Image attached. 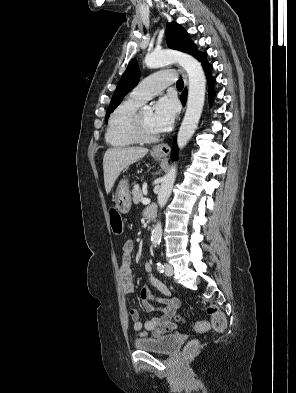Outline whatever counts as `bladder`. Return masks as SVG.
<instances>
[{
  "label": "bladder",
  "instance_id": "1",
  "mask_svg": "<svg viewBox=\"0 0 296 393\" xmlns=\"http://www.w3.org/2000/svg\"><path fill=\"white\" fill-rule=\"evenodd\" d=\"M178 337L174 334L139 338L135 341L138 350L157 353L161 355L171 354L177 347Z\"/></svg>",
  "mask_w": 296,
  "mask_h": 393
}]
</instances>
